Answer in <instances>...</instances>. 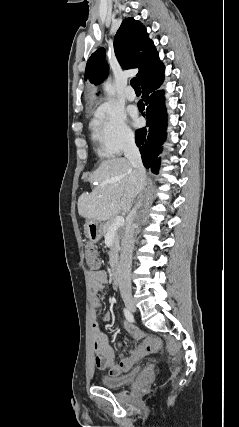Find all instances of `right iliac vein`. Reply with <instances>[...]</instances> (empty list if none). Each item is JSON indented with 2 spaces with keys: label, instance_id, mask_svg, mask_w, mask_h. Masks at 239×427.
I'll use <instances>...</instances> for the list:
<instances>
[{
  "label": "right iliac vein",
  "instance_id": "63e3f726",
  "mask_svg": "<svg viewBox=\"0 0 239 427\" xmlns=\"http://www.w3.org/2000/svg\"><path fill=\"white\" fill-rule=\"evenodd\" d=\"M122 298L126 305V307L131 311H136L135 301L130 291H123L122 292Z\"/></svg>",
  "mask_w": 239,
  "mask_h": 427
}]
</instances>
